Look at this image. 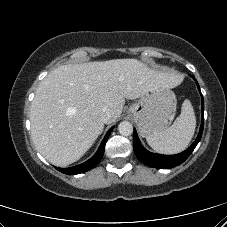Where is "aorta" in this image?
Returning <instances> with one entry per match:
<instances>
[{
  "instance_id": "762f6f07",
  "label": "aorta",
  "mask_w": 227,
  "mask_h": 227,
  "mask_svg": "<svg viewBox=\"0 0 227 227\" xmlns=\"http://www.w3.org/2000/svg\"><path fill=\"white\" fill-rule=\"evenodd\" d=\"M118 131L123 136H129L133 133V126L128 121H122L118 125Z\"/></svg>"
}]
</instances>
